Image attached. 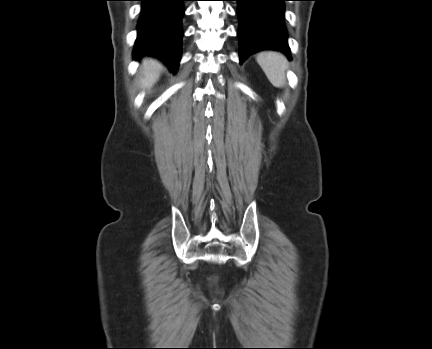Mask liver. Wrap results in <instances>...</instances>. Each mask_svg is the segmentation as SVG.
<instances>
[{
	"instance_id": "6515ba94",
	"label": "liver",
	"mask_w": 432,
	"mask_h": 349,
	"mask_svg": "<svg viewBox=\"0 0 432 349\" xmlns=\"http://www.w3.org/2000/svg\"><path fill=\"white\" fill-rule=\"evenodd\" d=\"M162 65L153 58L144 59L140 67V84L142 88L152 87L160 77Z\"/></svg>"
}]
</instances>
